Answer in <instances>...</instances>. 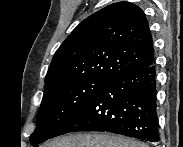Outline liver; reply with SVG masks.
Masks as SVG:
<instances>
[{
  "instance_id": "liver-1",
  "label": "liver",
  "mask_w": 183,
  "mask_h": 147,
  "mask_svg": "<svg viewBox=\"0 0 183 147\" xmlns=\"http://www.w3.org/2000/svg\"><path fill=\"white\" fill-rule=\"evenodd\" d=\"M44 147H147V145L107 133H79L57 138Z\"/></svg>"
}]
</instances>
